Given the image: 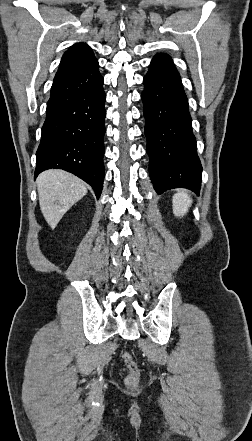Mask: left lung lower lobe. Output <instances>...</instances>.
Instances as JSON below:
<instances>
[{
    "instance_id": "obj_1",
    "label": "left lung lower lobe",
    "mask_w": 252,
    "mask_h": 441,
    "mask_svg": "<svg viewBox=\"0 0 252 441\" xmlns=\"http://www.w3.org/2000/svg\"><path fill=\"white\" fill-rule=\"evenodd\" d=\"M143 84L146 150L154 188L158 194L177 187L198 194L202 166L192 132L188 99L169 55L157 54L153 58Z\"/></svg>"
}]
</instances>
